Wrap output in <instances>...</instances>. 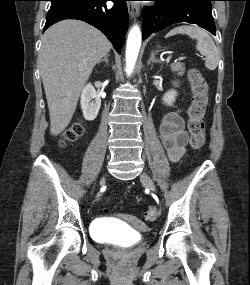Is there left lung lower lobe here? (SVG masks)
I'll return each instance as SVG.
<instances>
[{
	"mask_svg": "<svg viewBox=\"0 0 250 285\" xmlns=\"http://www.w3.org/2000/svg\"><path fill=\"white\" fill-rule=\"evenodd\" d=\"M152 1H155L154 6L143 9V40L153 33L180 22L196 24L216 35L210 5L196 0H180L173 3H166L163 0Z\"/></svg>",
	"mask_w": 250,
	"mask_h": 285,
	"instance_id": "0a47b994",
	"label": "left lung lower lobe"
}]
</instances>
